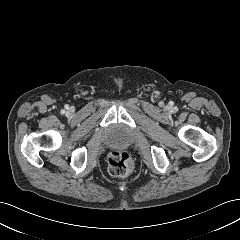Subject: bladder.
<instances>
[{
    "label": "bladder",
    "mask_w": 240,
    "mask_h": 240,
    "mask_svg": "<svg viewBox=\"0 0 240 240\" xmlns=\"http://www.w3.org/2000/svg\"><path fill=\"white\" fill-rule=\"evenodd\" d=\"M107 137V144L110 147H125L132 141L128 131L120 126L110 128L108 130Z\"/></svg>",
    "instance_id": "obj_1"
}]
</instances>
